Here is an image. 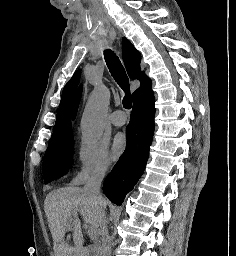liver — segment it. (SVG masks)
Wrapping results in <instances>:
<instances>
[{"label": "liver", "instance_id": "obj_1", "mask_svg": "<svg viewBox=\"0 0 236 256\" xmlns=\"http://www.w3.org/2000/svg\"><path fill=\"white\" fill-rule=\"evenodd\" d=\"M44 210L53 238L54 256H85L87 248L83 246L81 222L77 216L80 212L84 222L98 230L103 224L105 212H99L95 200L81 188L69 186L49 192L44 200ZM66 232H73V246L66 242Z\"/></svg>", "mask_w": 236, "mask_h": 256}]
</instances>
